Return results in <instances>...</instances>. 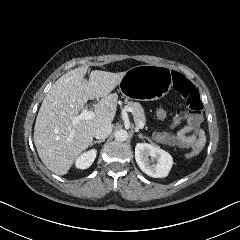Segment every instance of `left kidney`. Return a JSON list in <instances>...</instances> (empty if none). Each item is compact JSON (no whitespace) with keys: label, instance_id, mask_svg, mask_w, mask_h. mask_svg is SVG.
Returning <instances> with one entry per match:
<instances>
[{"label":"left kidney","instance_id":"1","mask_svg":"<svg viewBox=\"0 0 240 240\" xmlns=\"http://www.w3.org/2000/svg\"><path fill=\"white\" fill-rule=\"evenodd\" d=\"M135 160L142 172L153 178L168 176L173 165V158L168 152L157 145L148 143L136 144ZM153 160L156 163L151 164Z\"/></svg>","mask_w":240,"mask_h":240}]
</instances>
